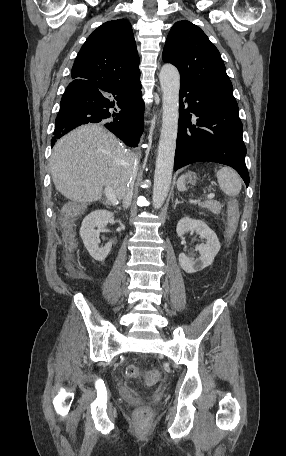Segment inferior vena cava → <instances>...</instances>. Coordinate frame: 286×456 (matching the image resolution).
Listing matches in <instances>:
<instances>
[{
	"instance_id": "1",
	"label": "inferior vena cava",
	"mask_w": 286,
	"mask_h": 456,
	"mask_svg": "<svg viewBox=\"0 0 286 456\" xmlns=\"http://www.w3.org/2000/svg\"><path fill=\"white\" fill-rule=\"evenodd\" d=\"M132 196H133V186L132 184L127 188V191L125 192L124 196H123V206L124 207H128L130 206L131 204V200H132Z\"/></svg>"
}]
</instances>
